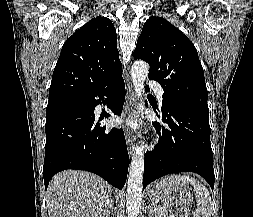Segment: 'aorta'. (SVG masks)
I'll return each mask as SVG.
<instances>
[{
  "label": "aorta",
  "instance_id": "aorta-1",
  "mask_svg": "<svg viewBox=\"0 0 253 217\" xmlns=\"http://www.w3.org/2000/svg\"><path fill=\"white\" fill-rule=\"evenodd\" d=\"M149 73V65L144 61H136L131 68V78L138 99V111L143 113L145 106L142 102L144 81ZM144 172V146L137 144L129 168L126 211L127 217H137L142 200Z\"/></svg>",
  "mask_w": 253,
  "mask_h": 217
}]
</instances>
